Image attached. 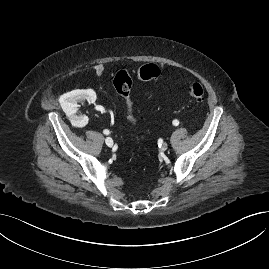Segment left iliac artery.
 <instances>
[{
  "mask_svg": "<svg viewBox=\"0 0 269 269\" xmlns=\"http://www.w3.org/2000/svg\"><path fill=\"white\" fill-rule=\"evenodd\" d=\"M173 125H175V126H178L179 125V121L177 120V119H175V120H173Z\"/></svg>",
  "mask_w": 269,
  "mask_h": 269,
  "instance_id": "1",
  "label": "left iliac artery"
}]
</instances>
